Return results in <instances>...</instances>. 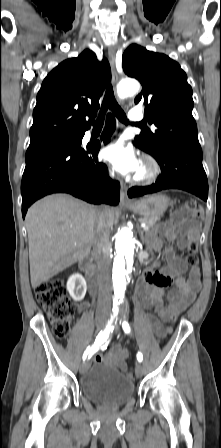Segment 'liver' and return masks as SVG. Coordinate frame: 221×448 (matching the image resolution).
<instances>
[{"mask_svg":"<svg viewBox=\"0 0 221 448\" xmlns=\"http://www.w3.org/2000/svg\"><path fill=\"white\" fill-rule=\"evenodd\" d=\"M97 208L70 195L54 194L34 203L26 214L30 279L33 288L84 259L93 246ZM108 228L114 210L105 207Z\"/></svg>","mask_w":221,"mask_h":448,"instance_id":"1","label":"liver"}]
</instances>
